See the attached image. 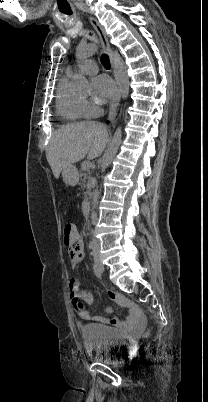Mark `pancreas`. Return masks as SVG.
Wrapping results in <instances>:
<instances>
[{"label": "pancreas", "instance_id": "pancreas-1", "mask_svg": "<svg viewBox=\"0 0 208 402\" xmlns=\"http://www.w3.org/2000/svg\"><path fill=\"white\" fill-rule=\"evenodd\" d=\"M80 178H81V186L84 188L85 192H83L84 198H88V196H92L91 194V174L89 170H81L80 172Z\"/></svg>", "mask_w": 208, "mask_h": 402}]
</instances>
